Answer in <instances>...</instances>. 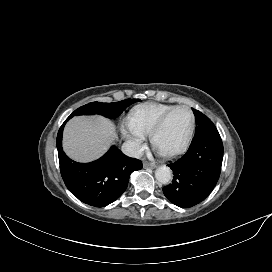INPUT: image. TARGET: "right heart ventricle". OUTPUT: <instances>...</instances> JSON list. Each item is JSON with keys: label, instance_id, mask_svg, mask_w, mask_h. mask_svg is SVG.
I'll list each match as a JSON object with an SVG mask.
<instances>
[{"label": "right heart ventricle", "instance_id": "right-heart-ventricle-1", "mask_svg": "<svg viewBox=\"0 0 272 272\" xmlns=\"http://www.w3.org/2000/svg\"><path fill=\"white\" fill-rule=\"evenodd\" d=\"M173 107L175 106L163 103H149L138 106L130 112L127 118L128 127L134 133L146 137L162 115Z\"/></svg>", "mask_w": 272, "mask_h": 272}]
</instances>
